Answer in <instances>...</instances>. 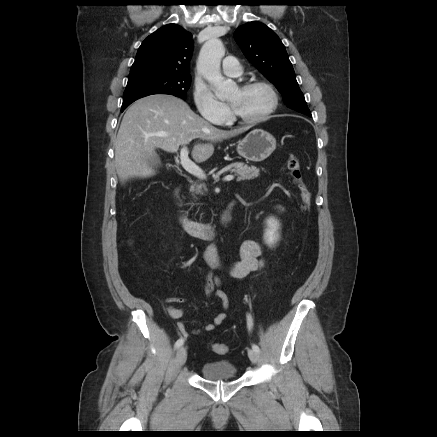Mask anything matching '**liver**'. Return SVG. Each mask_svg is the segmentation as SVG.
Segmentation results:
<instances>
[{
  "instance_id": "liver-1",
  "label": "liver",
  "mask_w": 437,
  "mask_h": 437,
  "mask_svg": "<svg viewBox=\"0 0 437 437\" xmlns=\"http://www.w3.org/2000/svg\"><path fill=\"white\" fill-rule=\"evenodd\" d=\"M246 130L218 129L195 114L183 100L171 95H150L134 102L122 119L115 141V170L122 183L131 178L151 177L155 170L148 159L156 148L174 153L196 138L210 142L193 147V160L202 163L214 152L212 142Z\"/></svg>"
}]
</instances>
